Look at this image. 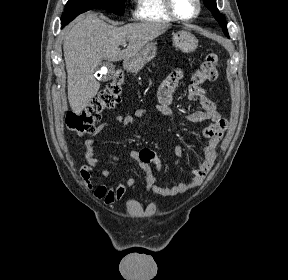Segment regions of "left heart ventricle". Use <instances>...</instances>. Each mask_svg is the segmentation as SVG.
I'll return each instance as SVG.
<instances>
[{
	"mask_svg": "<svg viewBox=\"0 0 288 280\" xmlns=\"http://www.w3.org/2000/svg\"><path fill=\"white\" fill-rule=\"evenodd\" d=\"M176 13L182 18H190L197 10L196 0H173Z\"/></svg>",
	"mask_w": 288,
	"mask_h": 280,
	"instance_id": "left-heart-ventricle-1",
	"label": "left heart ventricle"
}]
</instances>
